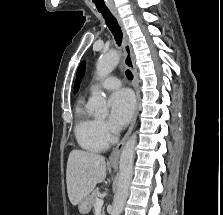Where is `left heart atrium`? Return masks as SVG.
Wrapping results in <instances>:
<instances>
[{
	"instance_id": "obj_1",
	"label": "left heart atrium",
	"mask_w": 223,
	"mask_h": 215,
	"mask_svg": "<svg viewBox=\"0 0 223 215\" xmlns=\"http://www.w3.org/2000/svg\"><path fill=\"white\" fill-rule=\"evenodd\" d=\"M109 103L110 124L116 128L125 126L134 109L135 102L132 93L127 89L119 90L110 96Z\"/></svg>"
}]
</instances>
